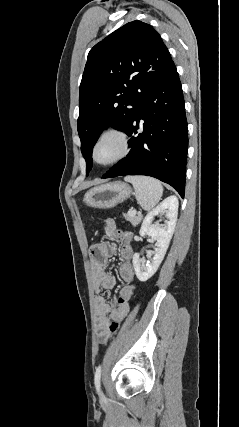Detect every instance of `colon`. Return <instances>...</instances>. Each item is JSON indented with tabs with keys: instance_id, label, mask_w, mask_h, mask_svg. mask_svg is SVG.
Listing matches in <instances>:
<instances>
[{
	"instance_id": "5ec220e1",
	"label": "colon",
	"mask_w": 239,
	"mask_h": 427,
	"mask_svg": "<svg viewBox=\"0 0 239 427\" xmlns=\"http://www.w3.org/2000/svg\"><path fill=\"white\" fill-rule=\"evenodd\" d=\"M133 231L125 232L124 235H115L114 243L120 244V264L118 268V281L126 282V284H122L121 288L117 291V296L120 298V302L124 301V298L129 297L130 292V284L133 281V276L135 275L134 266V248H133ZM118 322L111 321L109 324L110 331L113 332L117 329Z\"/></svg>"
}]
</instances>
